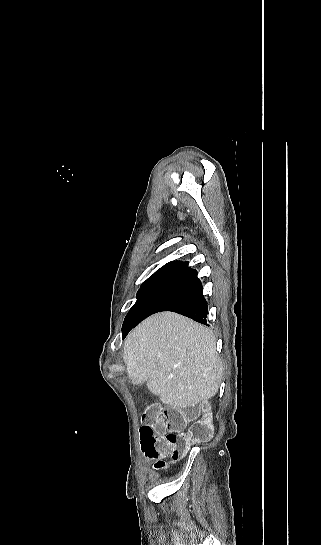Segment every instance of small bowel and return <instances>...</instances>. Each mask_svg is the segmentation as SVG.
Here are the masks:
<instances>
[{
  "label": "small bowel",
  "mask_w": 321,
  "mask_h": 545,
  "mask_svg": "<svg viewBox=\"0 0 321 545\" xmlns=\"http://www.w3.org/2000/svg\"><path fill=\"white\" fill-rule=\"evenodd\" d=\"M161 462H162L161 460L157 461V462H156V467H157V465H158L159 463H161ZM157 468H158V467H157Z\"/></svg>",
  "instance_id": "small-bowel-1"
}]
</instances>
